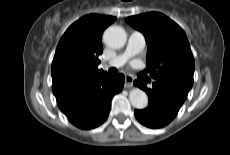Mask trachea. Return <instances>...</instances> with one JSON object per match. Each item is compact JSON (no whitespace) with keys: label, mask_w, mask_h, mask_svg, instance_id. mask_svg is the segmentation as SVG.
Listing matches in <instances>:
<instances>
[{"label":"trachea","mask_w":230,"mask_h":155,"mask_svg":"<svg viewBox=\"0 0 230 155\" xmlns=\"http://www.w3.org/2000/svg\"><path fill=\"white\" fill-rule=\"evenodd\" d=\"M110 73L114 74V73H115L114 69H111V70H110Z\"/></svg>","instance_id":"1"}]
</instances>
